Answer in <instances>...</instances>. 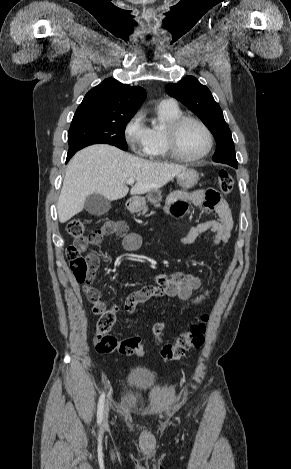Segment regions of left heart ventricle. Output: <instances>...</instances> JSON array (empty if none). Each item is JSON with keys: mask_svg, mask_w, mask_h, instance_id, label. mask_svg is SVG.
I'll return each instance as SVG.
<instances>
[{"mask_svg": "<svg viewBox=\"0 0 291 469\" xmlns=\"http://www.w3.org/2000/svg\"><path fill=\"white\" fill-rule=\"evenodd\" d=\"M206 145V135L196 123L187 122L179 130L177 146L183 156L196 157L205 150Z\"/></svg>", "mask_w": 291, "mask_h": 469, "instance_id": "left-heart-ventricle-1", "label": "left heart ventricle"}]
</instances>
